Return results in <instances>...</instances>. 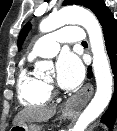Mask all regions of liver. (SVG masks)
<instances>
[{"instance_id":"1","label":"liver","mask_w":117,"mask_h":131,"mask_svg":"<svg viewBox=\"0 0 117 131\" xmlns=\"http://www.w3.org/2000/svg\"><path fill=\"white\" fill-rule=\"evenodd\" d=\"M56 113V107L27 108L20 111L13 120V124L25 122H43L50 119Z\"/></svg>"}]
</instances>
